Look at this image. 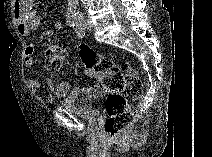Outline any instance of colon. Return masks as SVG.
Returning <instances> with one entry per match:
<instances>
[{"instance_id":"5ec220e1","label":"colon","mask_w":212,"mask_h":157,"mask_svg":"<svg viewBox=\"0 0 212 157\" xmlns=\"http://www.w3.org/2000/svg\"><path fill=\"white\" fill-rule=\"evenodd\" d=\"M76 51L86 74L109 95L105 132L109 137L117 138L132 122L129 100L140 96L142 82L136 70L126 62H117L112 56H99L87 45H78ZM45 56L51 69L60 70L64 63L65 49L59 45H51Z\"/></svg>"}]
</instances>
